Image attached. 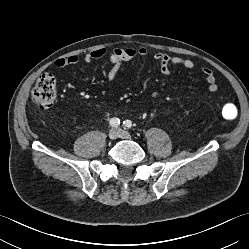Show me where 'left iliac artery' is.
Here are the masks:
<instances>
[{"instance_id":"1","label":"left iliac artery","mask_w":249,"mask_h":249,"mask_svg":"<svg viewBox=\"0 0 249 249\" xmlns=\"http://www.w3.org/2000/svg\"><path fill=\"white\" fill-rule=\"evenodd\" d=\"M123 127L124 128H131L132 127V122L130 120H126L123 122Z\"/></svg>"}]
</instances>
